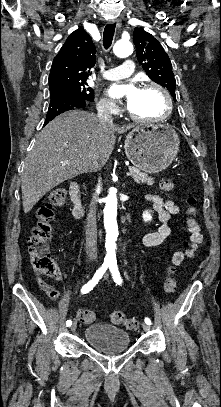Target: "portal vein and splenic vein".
Returning a JSON list of instances; mask_svg holds the SVG:
<instances>
[{"label": "portal vein and splenic vein", "instance_id": "18ae733b", "mask_svg": "<svg viewBox=\"0 0 221 407\" xmlns=\"http://www.w3.org/2000/svg\"><path fill=\"white\" fill-rule=\"evenodd\" d=\"M131 174H132L131 171H129V172L126 173L127 176H131Z\"/></svg>", "mask_w": 221, "mask_h": 407}]
</instances>
